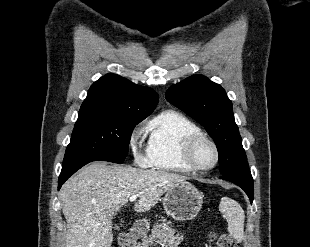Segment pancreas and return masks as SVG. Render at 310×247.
Segmentation results:
<instances>
[{
    "label": "pancreas",
    "instance_id": "1",
    "mask_svg": "<svg viewBox=\"0 0 310 247\" xmlns=\"http://www.w3.org/2000/svg\"><path fill=\"white\" fill-rule=\"evenodd\" d=\"M171 222L156 224L151 234H145L142 242L138 243L136 247H149L152 244H160L162 247H178L183 241V235L171 228Z\"/></svg>",
    "mask_w": 310,
    "mask_h": 247
}]
</instances>
